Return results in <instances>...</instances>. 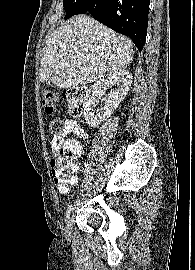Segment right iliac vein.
<instances>
[{"instance_id": "63e3f726", "label": "right iliac vein", "mask_w": 195, "mask_h": 270, "mask_svg": "<svg viewBox=\"0 0 195 270\" xmlns=\"http://www.w3.org/2000/svg\"><path fill=\"white\" fill-rule=\"evenodd\" d=\"M71 229H72V219L70 218L67 223L66 233L68 236L71 235Z\"/></svg>"}]
</instances>
